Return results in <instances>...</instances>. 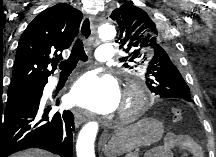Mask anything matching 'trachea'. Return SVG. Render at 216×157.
Here are the masks:
<instances>
[{
	"label": "trachea",
	"mask_w": 216,
	"mask_h": 157,
	"mask_svg": "<svg viewBox=\"0 0 216 157\" xmlns=\"http://www.w3.org/2000/svg\"><path fill=\"white\" fill-rule=\"evenodd\" d=\"M88 57L84 50L83 41L78 39L71 51L69 58L59 64V68L62 74L71 73L72 70L76 67L78 61H87Z\"/></svg>",
	"instance_id": "obj_1"
}]
</instances>
